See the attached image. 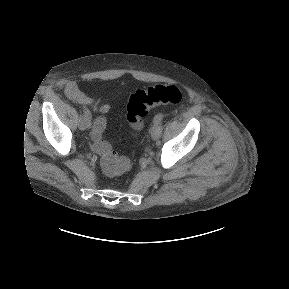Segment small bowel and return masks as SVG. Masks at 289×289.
Instances as JSON below:
<instances>
[{
    "instance_id": "small-bowel-1",
    "label": "small bowel",
    "mask_w": 289,
    "mask_h": 289,
    "mask_svg": "<svg viewBox=\"0 0 289 289\" xmlns=\"http://www.w3.org/2000/svg\"><path fill=\"white\" fill-rule=\"evenodd\" d=\"M65 95L72 101L83 105V106H92L94 100L92 97L85 94L77 85L75 81H68L65 85ZM111 106L109 104H102L97 108V110L102 114L109 113ZM93 135V132H92Z\"/></svg>"
}]
</instances>
